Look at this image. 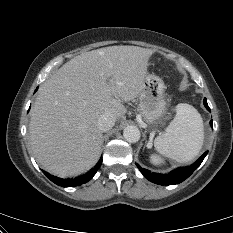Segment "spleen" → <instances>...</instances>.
I'll return each instance as SVG.
<instances>
[{"label": "spleen", "mask_w": 233, "mask_h": 233, "mask_svg": "<svg viewBox=\"0 0 233 233\" xmlns=\"http://www.w3.org/2000/svg\"><path fill=\"white\" fill-rule=\"evenodd\" d=\"M204 141V126L201 115L189 104H178L176 115L163 133L154 140L157 152L180 163L193 160L200 152ZM153 164L158 165L163 160L151 156Z\"/></svg>", "instance_id": "obj_1"}]
</instances>
